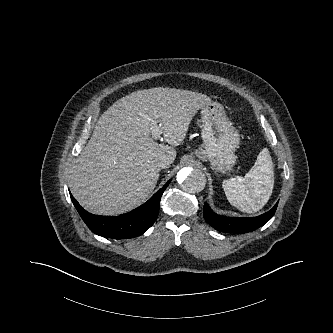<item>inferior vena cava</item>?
I'll return each instance as SVG.
<instances>
[{"label":"inferior vena cava","instance_id":"602c4592","mask_svg":"<svg viewBox=\"0 0 333 333\" xmlns=\"http://www.w3.org/2000/svg\"><path fill=\"white\" fill-rule=\"evenodd\" d=\"M170 165L169 161L165 158H160L159 160H157L156 162V167L158 169H165Z\"/></svg>","mask_w":333,"mask_h":333}]
</instances>
